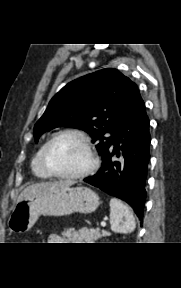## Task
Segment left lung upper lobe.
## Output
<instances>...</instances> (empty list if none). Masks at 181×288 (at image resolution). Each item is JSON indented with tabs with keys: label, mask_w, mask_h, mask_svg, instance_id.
I'll list each match as a JSON object with an SVG mask.
<instances>
[{
	"label": "left lung upper lobe",
	"mask_w": 181,
	"mask_h": 288,
	"mask_svg": "<svg viewBox=\"0 0 181 288\" xmlns=\"http://www.w3.org/2000/svg\"><path fill=\"white\" fill-rule=\"evenodd\" d=\"M138 92L134 82L112 68L73 80L51 99L35 124V141L56 127L78 128L91 136L98 153L104 156Z\"/></svg>",
	"instance_id": "5c2ea615"
}]
</instances>
